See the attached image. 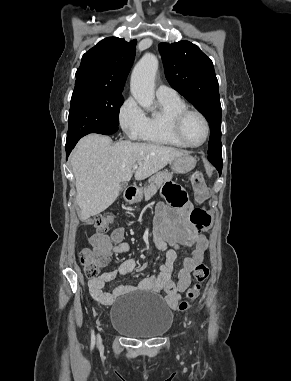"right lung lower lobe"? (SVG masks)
<instances>
[{
  "mask_svg": "<svg viewBox=\"0 0 291 381\" xmlns=\"http://www.w3.org/2000/svg\"><path fill=\"white\" fill-rule=\"evenodd\" d=\"M117 130H118V128H116V129H112V130H108V131L103 132L102 134H104V135L113 134V133H115ZM77 142H78V141H74V142H66V146H65V148H66V159L68 158V156H69L71 150L74 148V146L76 145Z\"/></svg>",
  "mask_w": 291,
  "mask_h": 381,
  "instance_id": "obj_1",
  "label": "right lung lower lobe"
}]
</instances>
